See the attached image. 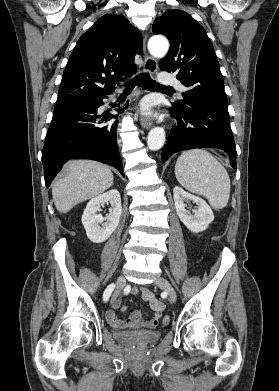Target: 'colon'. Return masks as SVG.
<instances>
[{
  "instance_id": "obj_1",
  "label": "colon",
  "mask_w": 279,
  "mask_h": 391,
  "mask_svg": "<svg viewBox=\"0 0 279 391\" xmlns=\"http://www.w3.org/2000/svg\"><path fill=\"white\" fill-rule=\"evenodd\" d=\"M162 323L164 325L168 324L169 323V317L168 316H164L163 319H162Z\"/></svg>"
}]
</instances>
